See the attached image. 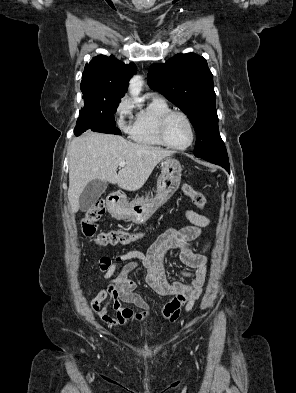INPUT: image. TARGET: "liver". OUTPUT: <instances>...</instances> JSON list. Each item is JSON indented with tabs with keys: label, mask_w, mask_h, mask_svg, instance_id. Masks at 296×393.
<instances>
[{
	"label": "liver",
	"mask_w": 296,
	"mask_h": 393,
	"mask_svg": "<svg viewBox=\"0 0 296 393\" xmlns=\"http://www.w3.org/2000/svg\"><path fill=\"white\" fill-rule=\"evenodd\" d=\"M68 154V199L72 212H77L80 195L90 181L98 179L136 191L145 184L155 166L173 152L132 143L117 135L87 131L73 139ZM121 161L126 165L117 174Z\"/></svg>",
	"instance_id": "1"
}]
</instances>
